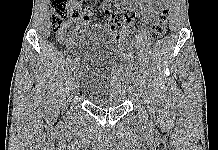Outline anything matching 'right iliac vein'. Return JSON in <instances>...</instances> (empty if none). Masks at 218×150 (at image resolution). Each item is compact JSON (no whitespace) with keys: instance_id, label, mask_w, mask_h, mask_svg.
I'll use <instances>...</instances> for the list:
<instances>
[{"instance_id":"1","label":"right iliac vein","mask_w":218,"mask_h":150,"mask_svg":"<svg viewBox=\"0 0 218 150\" xmlns=\"http://www.w3.org/2000/svg\"><path fill=\"white\" fill-rule=\"evenodd\" d=\"M78 90V80L76 74L72 76V91L73 93H77Z\"/></svg>"}]
</instances>
